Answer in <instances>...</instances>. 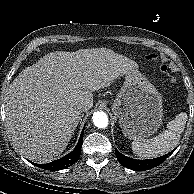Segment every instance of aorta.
Here are the masks:
<instances>
[{
	"label": "aorta",
	"mask_w": 194,
	"mask_h": 194,
	"mask_svg": "<svg viewBox=\"0 0 194 194\" xmlns=\"http://www.w3.org/2000/svg\"><path fill=\"white\" fill-rule=\"evenodd\" d=\"M92 119L94 125L98 128H106L108 126V116L103 111L94 112Z\"/></svg>",
	"instance_id": "aorta-1"
}]
</instances>
